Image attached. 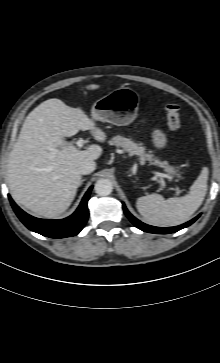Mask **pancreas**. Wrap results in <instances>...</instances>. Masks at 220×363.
I'll use <instances>...</instances> for the list:
<instances>
[{"instance_id":"pancreas-1","label":"pancreas","mask_w":220,"mask_h":363,"mask_svg":"<svg viewBox=\"0 0 220 363\" xmlns=\"http://www.w3.org/2000/svg\"><path fill=\"white\" fill-rule=\"evenodd\" d=\"M109 143L110 145L122 147L129 153L130 156H138L141 164H145L146 161H149L151 164L159 165L160 167L165 168L169 174H177L175 167L168 165L166 162H161L158 159H154L150 153H147L146 148L142 146V143H135L133 140L119 135L113 137Z\"/></svg>"}]
</instances>
